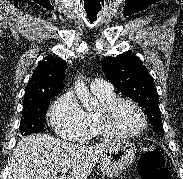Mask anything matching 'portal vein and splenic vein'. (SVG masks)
<instances>
[{
	"instance_id": "portal-vein-and-splenic-vein-1",
	"label": "portal vein and splenic vein",
	"mask_w": 183,
	"mask_h": 179,
	"mask_svg": "<svg viewBox=\"0 0 183 179\" xmlns=\"http://www.w3.org/2000/svg\"><path fill=\"white\" fill-rule=\"evenodd\" d=\"M69 171V168H63L61 169L62 174H66Z\"/></svg>"
}]
</instances>
